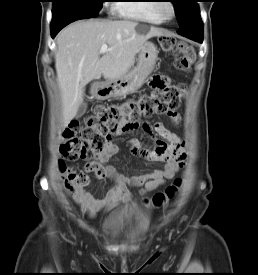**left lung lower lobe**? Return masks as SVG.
Listing matches in <instances>:
<instances>
[{"instance_id": "obj_1", "label": "left lung lower lobe", "mask_w": 258, "mask_h": 275, "mask_svg": "<svg viewBox=\"0 0 258 275\" xmlns=\"http://www.w3.org/2000/svg\"><path fill=\"white\" fill-rule=\"evenodd\" d=\"M177 33L196 42L202 43L203 22L200 17L199 8L195 10L192 20L186 25L182 26Z\"/></svg>"}]
</instances>
